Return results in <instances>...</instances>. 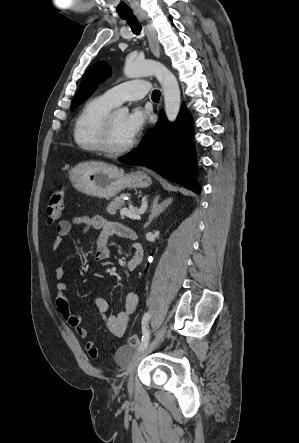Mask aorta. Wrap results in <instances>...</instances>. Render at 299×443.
Wrapping results in <instances>:
<instances>
[{"mask_svg": "<svg viewBox=\"0 0 299 443\" xmlns=\"http://www.w3.org/2000/svg\"><path fill=\"white\" fill-rule=\"evenodd\" d=\"M124 74L128 78L155 76L163 89L165 113L170 122H174L180 110V89L176 77L164 65L152 60H137L126 58ZM120 115H127L129 109L122 107L118 110Z\"/></svg>", "mask_w": 299, "mask_h": 443, "instance_id": "1", "label": "aorta"}]
</instances>
